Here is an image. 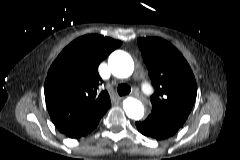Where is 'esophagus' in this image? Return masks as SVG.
Instances as JSON below:
<instances>
[{
    "label": "esophagus",
    "mask_w": 240,
    "mask_h": 160,
    "mask_svg": "<svg viewBox=\"0 0 240 160\" xmlns=\"http://www.w3.org/2000/svg\"><path fill=\"white\" fill-rule=\"evenodd\" d=\"M131 96H132V97H139L140 94H139V92H138L137 90H135V91H133V92L131 93Z\"/></svg>",
    "instance_id": "34e87169"
}]
</instances>
